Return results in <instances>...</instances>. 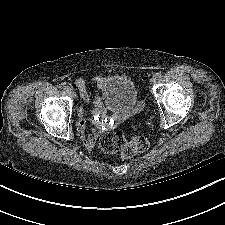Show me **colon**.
Returning a JSON list of instances; mask_svg holds the SVG:
<instances>
[{
  "label": "colon",
  "mask_w": 225,
  "mask_h": 225,
  "mask_svg": "<svg viewBox=\"0 0 225 225\" xmlns=\"http://www.w3.org/2000/svg\"><path fill=\"white\" fill-rule=\"evenodd\" d=\"M149 147V141L144 136L127 139L122 133H105L99 140V149L106 154L120 153L124 159H130Z\"/></svg>",
  "instance_id": "5ec220e1"
}]
</instances>
